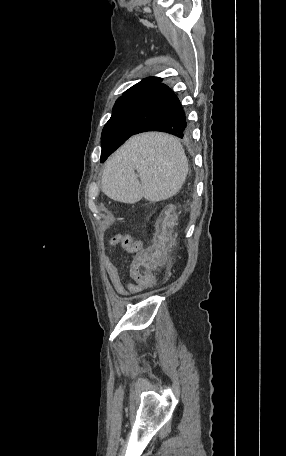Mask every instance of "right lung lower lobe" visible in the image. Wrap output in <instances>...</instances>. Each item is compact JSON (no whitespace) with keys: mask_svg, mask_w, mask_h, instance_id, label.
I'll list each match as a JSON object with an SVG mask.
<instances>
[{"mask_svg":"<svg viewBox=\"0 0 286 456\" xmlns=\"http://www.w3.org/2000/svg\"><path fill=\"white\" fill-rule=\"evenodd\" d=\"M130 129L129 137L144 131H164L184 138L188 122L173 91L161 82L139 88L121 99Z\"/></svg>","mask_w":286,"mask_h":456,"instance_id":"1","label":"right lung lower lobe"}]
</instances>
